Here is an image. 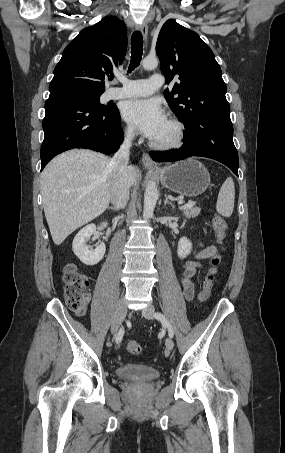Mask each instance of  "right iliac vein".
Segmentation results:
<instances>
[{"label": "right iliac vein", "instance_id": "63e3f726", "mask_svg": "<svg viewBox=\"0 0 285 453\" xmlns=\"http://www.w3.org/2000/svg\"><path fill=\"white\" fill-rule=\"evenodd\" d=\"M126 312H127V309H126L125 301L123 298H121L119 300V302L117 303V306H116V309H115V312H114V315L112 318V322H111V333L112 334L115 335L117 333L119 327L121 326L123 320L125 319Z\"/></svg>", "mask_w": 285, "mask_h": 453}]
</instances>
